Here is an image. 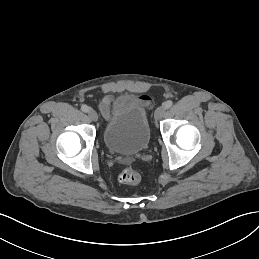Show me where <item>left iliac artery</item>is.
Wrapping results in <instances>:
<instances>
[{
	"instance_id": "obj_1",
	"label": "left iliac artery",
	"mask_w": 259,
	"mask_h": 259,
	"mask_svg": "<svg viewBox=\"0 0 259 259\" xmlns=\"http://www.w3.org/2000/svg\"><path fill=\"white\" fill-rule=\"evenodd\" d=\"M173 105V102L171 100H168L164 103L165 109H169Z\"/></svg>"
}]
</instances>
